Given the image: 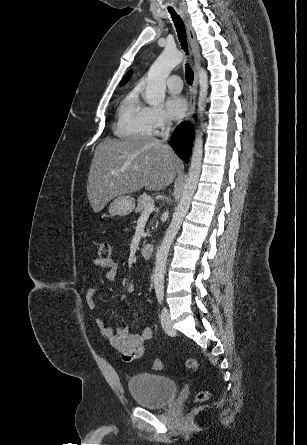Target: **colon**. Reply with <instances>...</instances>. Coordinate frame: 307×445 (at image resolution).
<instances>
[{"label": "colon", "mask_w": 307, "mask_h": 445, "mask_svg": "<svg viewBox=\"0 0 307 445\" xmlns=\"http://www.w3.org/2000/svg\"><path fill=\"white\" fill-rule=\"evenodd\" d=\"M97 253L100 259H109L112 254V245L109 242H100L97 245ZM186 367L192 370L197 368V362L193 358L186 360ZM153 368L155 370H161L163 368V363L160 359H156L153 362ZM208 398V393L206 391H201L197 395L198 401H204Z\"/></svg>", "instance_id": "colon-1"}]
</instances>
